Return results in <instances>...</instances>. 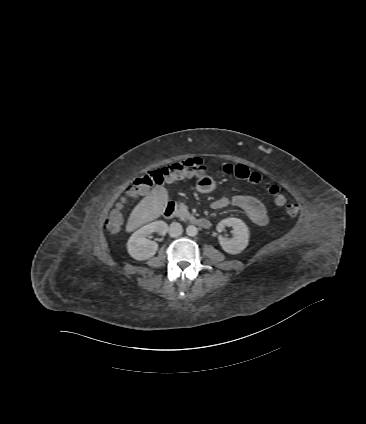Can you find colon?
I'll list each match as a JSON object with an SVG mask.
<instances>
[{
  "label": "colon",
  "instance_id": "1",
  "mask_svg": "<svg viewBox=\"0 0 366 424\" xmlns=\"http://www.w3.org/2000/svg\"><path fill=\"white\" fill-rule=\"evenodd\" d=\"M203 171L204 165L200 158L185 159L162 168L143 173L133 181L126 193L128 197H135L154 185H161L178 179L199 176ZM223 172L228 176L246 181L253 185H263L274 203L277 206L285 207V212L288 216L294 217L298 214V205L296 203L287 204V199L281 192L280 188L275 184L264 182L258 172L252 171L242 164H226L223 167ZM125 203L126 200L118 203L107 217L105 226L109 231L116 232L119 230L123 218L122 209Z\"/></svg>",
  "mask_w": 366,
  "mask_h": 424
}]
</instances>
